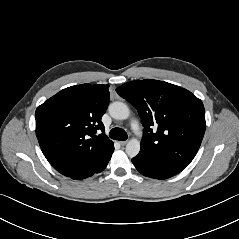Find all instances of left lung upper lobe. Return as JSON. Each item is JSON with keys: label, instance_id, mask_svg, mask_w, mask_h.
Here are the masks:
<instances>
[{"label": "left lung upper lobe", "instance_id": "left-lung-upper-lobe-1", "mask_svg": "<svg viewBox=\"0 0 239 239\" xmlns=\"http://www.w3.org/2000/svg\"><path fill=\"white\" fill-rule=\"evenodd\" d=\"M116 91L141 117L144 136L140 153L184 169L205 133L202 101L182 87L150 79L125 83Z\"/></svg>", "mask_w": 239, "mask_h": 239}]
</instances>
